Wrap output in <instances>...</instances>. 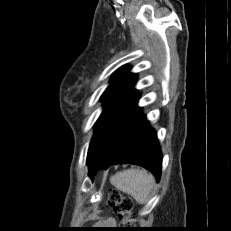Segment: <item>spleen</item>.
Masks as SVG:
<instances>
[{"label": "spleen", "mask_w": 231, "mask_h": 231, "mask_svg": "<svg viewBox=\"0 0 231 231\" xmlns=\"http://www.w3.org/2000/svg\"><path fill=\"white\" fill-rule=\"evenodd\" d=\"M110 182L118 190L131 195L137 203L145 204L155 185L154 177L145 170L128 169L116 173Z\"/></svg>", "instance_id": "3e777b00"}]
</instances>
